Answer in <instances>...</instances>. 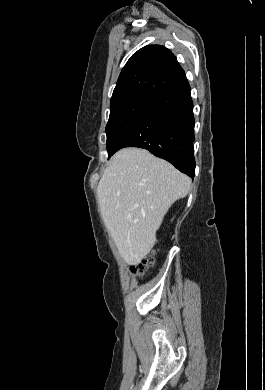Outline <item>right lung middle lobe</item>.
I'll return each instance as SVG.
<instances>
[{"label":"right lung middle lobe","mask_w":265,"mask_h":390,"mask_svg":"<svg viewBox=\"0 0 265 390\" xmlns=\"http://www.w3.org/2000/svg\"><path fill=\"white\" fill-rule=\"evenodd\" d=\"M154 99L138 95L110 104V116L106 125L108 159L116 152V144L125 129Z\"/></svg>","instance_id":"obj_1"}]
</instances>
